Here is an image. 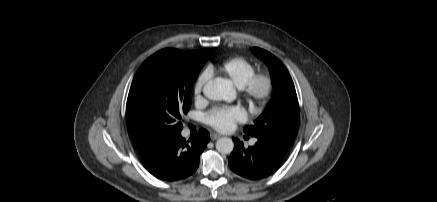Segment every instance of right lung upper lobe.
<instances>
[{"label":"right lung upper lobe","mask_w":437,"mask_h":202,"mask_svg":"<svg viewBox=\"0 0 437 202\" xmlns=\"http://www.w3.org/2000/svg\"><path fill=\"white\" fill-rule=\"evenodd\" d=\"M208 52V50H197V51H190V52H185V54L189 57H198V56H203ZM138 152L140 153V155H144L147 152H149L151 149L148 150H142V149H138Z\"/></svg>","instance_id":"right-lung-upper-lobe-1"}]
</instances>
